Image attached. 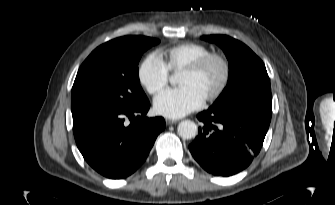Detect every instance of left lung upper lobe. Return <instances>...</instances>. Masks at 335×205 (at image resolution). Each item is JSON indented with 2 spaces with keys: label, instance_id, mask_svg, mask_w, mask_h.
<instances>
[{
  "label": "left lung upper lobe",
  "instance_id": "1",
  "mask_svg": "<svg viewBox=\"0 0 335 205\" xmlns=\"http://www.w3.org/2000/svg\"><path fill=\"white\" fill-rule=\"evenodd\" d=\"M224 51L229 63L227 86L210 108L252 105L272 111L270 80L262 60L245 44L226 35L202 36Z\"/></svg>",
  "mask_w": 335,
  "mask_h": 205
}]
</instances>
